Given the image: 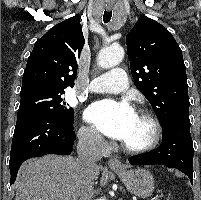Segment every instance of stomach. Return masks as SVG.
<instances>
[{
  "label": "stomach",
  "instance_id": "obj_1",
  "mask_svg": "<svg viewBox=\"0 0 201 200\" xmlns=\"http://www.w3.org/2000/svg\"><path fill=\"white\" fill-rule=\"evenodd\" d=\"M113 171L119 176L126 188L134 195L147 198L154 190V179L151 173L145 169H130Z\"/></svg>",
  "mask_w": 201,
  "mask_h": 200
}]
</instances>
